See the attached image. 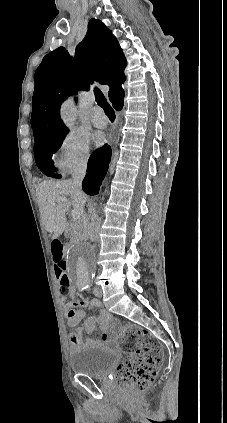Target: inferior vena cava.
Instances as JSON below:
<instances>
[{
    "instance_id": "602c4592",
    "label": "inferior vena cava",
    "mask_w": 227,
    "mask_h": 423,
    "mask_svg": "<svg viewBox=\"0 0 227 423\" xmlns=\"http://www.w3.org/2000/svg\"><path fill=\"white\" fill-rule=\"evenodd\" d=\"M87 170V160H83V162H80V164H77L73 170L72 174V184L78 192H82V180L86 174ZM100 223V219H97V217H92L91 223H88L87 231H88V237L91 239V241H96L97 239V233H96V227Z\"/></svg>"
}]
</instances>
